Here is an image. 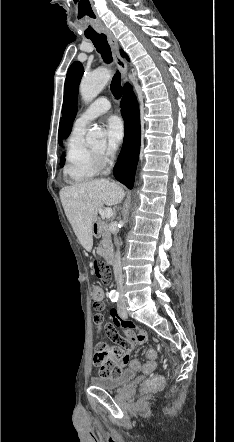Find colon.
I'll use <instances>...</instances> for the list:
<instances>
[{"label": "colon", "mask_w": 234, "mask_h": 442, "mask_svg": "<svg viewBox=\"0 0 234 442\" xmlns=\"http://www.w3.org/2000/svg\"><path fill=\"white\" fill-rule=\"evenodd\" d=\"M93 269L96 277L103 283L107 284L110 282L111 271L106 261L100 258L95 259L93 261ZM91 298L93 307L96 310H101L103 308L104 292L100 286H94L92 288ZM106 338L109 339L110 337ZM143 353L147 358V362L144 364L138 359L130 357L132 355L130 350L122 349L120 346L109 349L107 345L101 344L95 353L94 362L99 366L100 374L104 376L117 374L124 367H127L129 372L142 370L148 374L156 368L157 350L154 346H149L144 348ZM142 387L144 389H163L164 382L161 377H154L152 380H144Z\"/></svg>", "instance_id": "colon-1"}]
</instances>
